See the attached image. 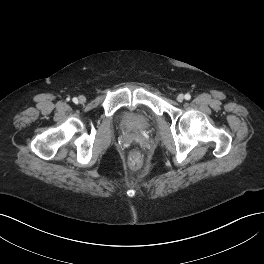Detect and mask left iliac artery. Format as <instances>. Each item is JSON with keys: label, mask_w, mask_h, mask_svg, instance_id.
Returning a JSON list of instances; mask_svg holds the SVG:
<instances>
[{"label": "left iliac artery", "mask_w": 264, "mask_h": 264, "mask_svg": "<svg viewBox=\"0 0 264 264\" xmlns=\"http://www.w3.org/2000/svg\"><path fill=\"white\" fill-rule=\"evenodd\" d=\"M185 99H186V100H190V99H191V95H190V94H188V93H187V94H185Z\"/></svg>", "instance_id": "1"}]
</instances>
